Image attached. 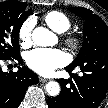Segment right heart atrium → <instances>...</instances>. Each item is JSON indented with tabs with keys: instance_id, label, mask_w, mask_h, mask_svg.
Returning a JSON list of instances; mask_svg holds the SVG:
<instances>
[{
	"instance_id": "1",
	"label": "right heart atrium",
	"mask_w": 108,
	"mask_h": 108,
	"mask_svg": "<svg viewBox=\"0 0 108 108\" xmlns=\"http://www.w3.org/2000/svg\"><path fill=\"white\" fill-rule=\"evenodd\" d=\"M34 27L33 19H27L21 26L18 32V38L21 46L27 47L32 42V31Z\"/></svg>"
}]
</instances>
